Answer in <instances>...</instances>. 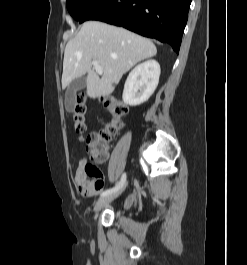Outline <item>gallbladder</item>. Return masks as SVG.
I'll list each match as a JSON object with an SVG mask.
<instances>
[{
  "label": "gallbladder",
  "mask_w": 247,
  "mask_h": 265,
  "mask_svg": "<svg viewBox=\"0 0 247 265\" xmlns=\"http://www.w3.org/2000/svg\"><path fill=\"white\" fill-rule=\"evenodd\" d=\"M86 87L84 76L74 79L67 87L65 94V106L68 112H72L75 105L76 92Z\"/></svg>",
  "instance_id": "gallbladder-1"
}]
</instances>
